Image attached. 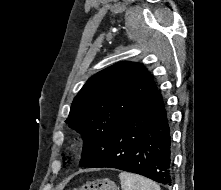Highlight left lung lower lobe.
Listing matches in <instances>:
<instances>
[{
  "mask_svg": "<svg viewBox=\"0 0 221 190\" xmlns=\"http://www.w3.org/2000/svg\"><path fill=\"white\" fill-rule=\"evenodd\" d=\"M88 167L116 168L171 184V137L160 90L113 132Z\"/></svg>",
  "mask_w": 221,
  "mask_h": 190,
  "instance_id": "left-lung-lower-lobe-1",
  "label": "left lung lower lobe"
}]
</instances>
